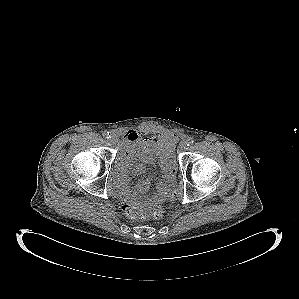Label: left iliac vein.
Here are the masks:
<instances>
[{"label":"left iliac vein","instance_id":"4c4485c4","mask_svg":"<svg viewBox=\"0 0 299 299\" xmlns=\"http://www.w3.org/2000/svg\"><path fill=\"white\" fill-rule=\"evenodd\" d=\"M180 150L185 151L188 148L187 141L183 140L179 145Z\"/></svg>","mask_w":299,"mask_h":299}]
</instances>
